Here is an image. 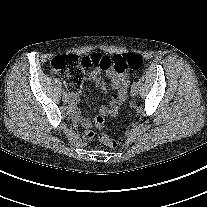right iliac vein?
I'll return each instance as SVG.
<instances>
[{"instance_id": "obj_1", "label": "right iliac vein", "mask_w": 207, "mask_h": 207, "mask_svg": "<svg viewBox=\"0 0 207 207\" xmlns=\"http://www.w3.org/2000/svg\"><path fill=\"white\" fill-rule=\"evenodd\" d=\"M64 103H69V96H63Z\"/></svg>"}]
</instances>
